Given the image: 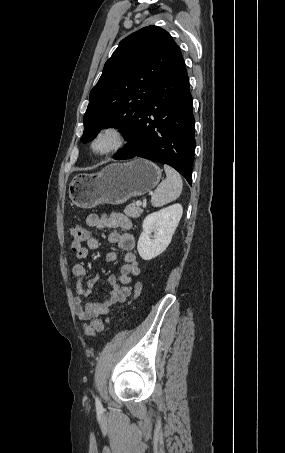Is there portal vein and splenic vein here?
<instances>
[{"label":"portal vein and splenic vein","instance_id":"18ae733b","mask_svg":"<svg viewBox=\"0 0 285 453\" xmlns=\"http://www.w3.org/2000/svg\"><path fill=\"white\" fill-rule=\"evenodd\" d=\"M141 205H142V202H141V201H137V202H136V206H137V207H139V206H141Z\"/></svg>","mask_w":285,"mask_h":453}]
</instances>
